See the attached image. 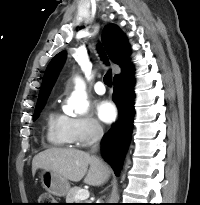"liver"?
<instances>
[{
	"instance_id": "obj_1",
	"label": "liver",
	"mask_w": 200,
	"mask_h": 205,
	"mask_svg": "<svg viewBox=\"0 0 200 205\" xmlns=\"http://www.w3.org/2000/svg\"><path fill=\"white\" fill-rule=\"evenodd\" d=\"M39 168L73 182L84 178V183L91 186H101L110 175L108 166L100 158L77 149L50 148L40 152L32 160V174Z\"/></svg>"
}]
</instances>
